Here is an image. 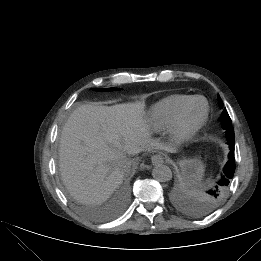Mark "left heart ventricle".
Wrapping results in <instances>:
<instances>
[{
  "mask_svg": "<svg viewBox=\"0 0 261 261\" xmlns=\"http://www.w3.org/2000/svg\"><path fill=\"white\" fill-rule=\"evenodd\" d=\"M205 109V104L202 100H197L191 104L188 108L185 117L184 123L186 126H192L195 124L202 116Z\"/></svg>",
  "mask_w": 261,
  "mask_h": 261,
  "instance_id": "b2bd125f",
  "label": "left heart ventricle"
}]
</instances>
